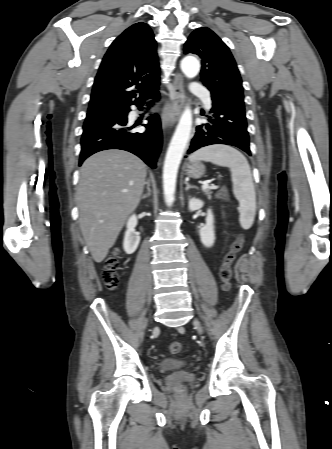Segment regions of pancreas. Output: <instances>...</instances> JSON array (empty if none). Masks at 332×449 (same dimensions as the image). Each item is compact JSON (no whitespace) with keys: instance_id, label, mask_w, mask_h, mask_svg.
Here are the masks:
<instances>
[{"instance_id":"obj_1","label":"pancreas","mask_w":332,"mask_h":449,"mask_svg":"<svg viewBox=\"0 0 332 449\" xmlns=\"http://www.w3.org/2000/svg\"><path fill=\"white\" fill-rule=\"evenodd\" d=\"M204 193H205V195L207 196L208 199L212 198V196H211L212 195V191L211 190L206 189V190H204ZM216 197L217 198L227 197V193H226V191L219 192V193L216 194Z\"/></svg>"}]
</instances>
